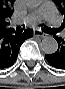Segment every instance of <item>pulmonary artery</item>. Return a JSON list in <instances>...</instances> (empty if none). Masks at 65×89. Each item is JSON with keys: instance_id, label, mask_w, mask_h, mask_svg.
Here are the masks:
<instances>
[{"instance_id": "e3ab8cb5", "label": "pulmonary artery", "mask_w": 65, "mask_h": 89, "mask_svg": "<svg viewBox=\"0 0 65 89\" xmlns=\"http://www.w3.org/2000/svg\"><path fill=\"white\" fill-rule=\"evenodd\" d=\"M41 19H45L53 28L59 27V19L54 4L45 1L36 11L23 18V22L27 24H35Z\"/></svg>"}]
</instances>
